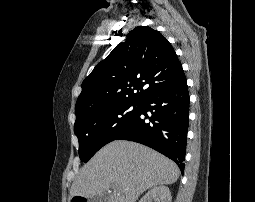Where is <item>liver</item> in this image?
Here are the masks:
<instances>
[{
    "mask_svg": "<svg viewBox=\"0 0 255 202\" xmlns=\"http://www.w3.org/2000/svg\"><path fill=\"white\" fill-rule=\"evenodd\" d=\"M178 166L153 149L131 141L116 140L101 148L83 166L70 195L92 198L109 194V202H136L147 189L173 184Z\"/></svg>",
    "mask_w": 255,
    "mask_h": 202,
    "instance_id": "liver-1",
    "label": "liver"
}]
</instances>
